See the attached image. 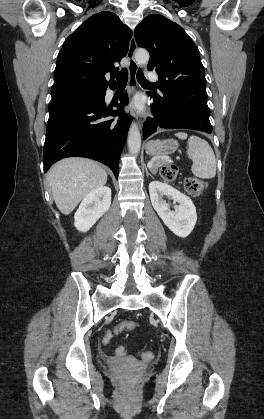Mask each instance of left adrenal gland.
<instances>
[{
	"label": "left adrenal gland",
	"mask_w": 264,
	"mask_h": 419,
	"mask_svg": "<svg viewBox=\"0 0 264 419\" xmlns=\"http://www.w3.org/2000/svg\"><path fill=\"white\" fill-rule=\"evenodd\" d=\"M146 174H147V176H151L152 177V175L148 172L147 168H146Z\"/></svg>",
	"instance_id": "obj_1"
}]
</instances>
